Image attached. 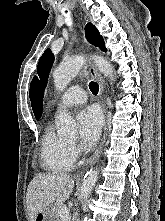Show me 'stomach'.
I'll use <instances>...</instances> for the list:
<instances>
[{
    "instance_id": "stomach-1",
    "label": "stomach",
    "mask_w": 165,
    "mask_h": 221,
    "mask_svg": "<svg viewBox=\"0 0 165 221\" xmlns=\"http://www.w3.org/2000/svg\"><path fill=\"white\" fill-rule=\"evenodd\" d=\"M54 213L55 205H49L37 214L35 221H55Z\"/></svg>"
}]
</instances>
